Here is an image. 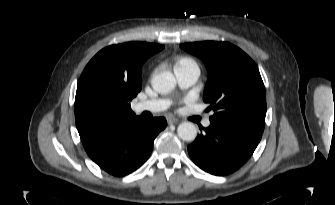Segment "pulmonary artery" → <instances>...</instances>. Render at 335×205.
Returning a JSON list of instances; mask_svg holds the SVG:
<instances>
[{
  "mask_svg": "<svg viewBox=\"0 0 335 205\" xmlns=\"http://www.w3.org/2000/svg\"><path fill=\"white\" fill-rule=\"evenodd\" d=\"M174 73L177 78L179 85L182 88H188L192 86L199 78L200 70L196 64H188L182 66H175ZM169 101L165 99H153L139 102L136 105L137 112L149 111L153 113L161 112L168 108ZM211 122L209 119L204 120L203 125L205 127L210 126Z\"/></svg>",
  "mask_w": 335,
  "mask_h": 205,
  "instance_id": "pulmonary-artery-1",
  "label": "pulmonary artery"
}]
</instances>
